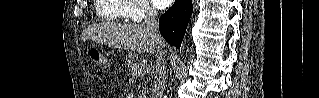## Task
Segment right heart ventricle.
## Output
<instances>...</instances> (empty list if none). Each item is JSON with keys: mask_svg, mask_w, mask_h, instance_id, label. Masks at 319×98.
<instances>
[{"mask_svg": "<svg viewBox=\"0 0 319 98\" xmlns=\"http://www.w3.org/2000/svg\"><path fill=\"white\" fill-rule=\"evenodd\" d=\"M131 2L127 0H98L96 12L98 16L107 21L127 18Z\"/></svg>", "mask_w": 319, "mask_h": 98, "instance_id": "1", "label": "right heart ventricle"}]
</instances>
